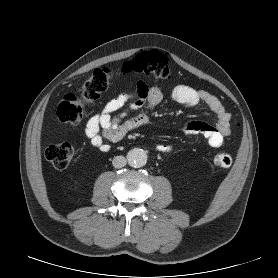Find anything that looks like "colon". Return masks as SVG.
I'll return each mask as SVG.
<instances>
[{
  "label": "colon",
  "instance_id": "colon-1",
  "mask_svg": "<svg viewBox=\"0 0 278 278\" xmlns=\"http://www.w3.org/2000/svg\"><path fill=\"white\" fill-rule=\"evenodd\" d=\"M121 72H132L162 80L171 76L167 57L155 50L138 54L118 71L108 68L96 69L80 94H67L59 102L56 111L58 120L72 125L79 124L86 116L87 110L107 90L113 77ZM74 154L75 148L68 142L50 145L45 150L46 159L57 169H65ZM214 164L221 168H228L232 164V157L227 153L219 152L214 156Z\"/></svg>",
  "mask_w": 278,
  "mask_h": 278
}]
</instances>
